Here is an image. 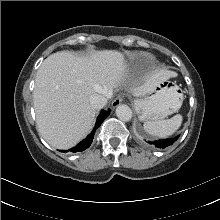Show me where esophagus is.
Wrapping results in <instances>:
<instances>
[{"label": "esophagus", "instance_id": "1", "mask_svg": "<svg viewBox=\"0 0 220 220\" xmlns=\"http://www.w3.org/2000/svg\"><path fill=\"white\" fill-rule=\"evenodd\" d=\"M123 100V97L121 95H118L113 101H112V107L115 108L121 104Z\"/></svg>", "mask_w": 220, "mask_h": 220}]
</instances>
